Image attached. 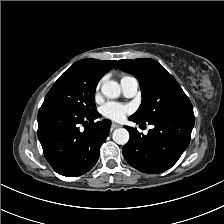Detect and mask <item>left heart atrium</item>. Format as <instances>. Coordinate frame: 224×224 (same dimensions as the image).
Here are the masks:
<instances>
[{
  "mask_svg": "<svg viewBox=\"0 0 224 224\" xmlns=\"http://www.w3.org/2000/svg\"><path fill=\"white\" fill-rule=\"evenodd\" d=\"M130 112V106L116 102H108L102 107L103 116L115 121L123 120Z\"/></svg>",
  "mask_w": 224,
  "mask_h": 224,
  "instance_id": "obj_1",
  "label": "left heart atrium"
}]
</instances>
